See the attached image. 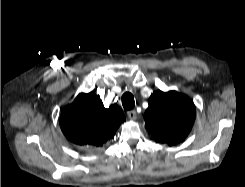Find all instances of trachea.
<instances>
[{"label":"trachea","mask_w":245,"mask_h":187,"mask_svg":"<svg viewBox=\"0 0 245 187\" xmlns=\"http://www.w3.org/2000/svg\"><path fill=\"white\" fill-rule=\"evenodd\" d=\"M122 105L125 110H131L135 106L134 97L130 92H125L122 95Z\"/></svg>","instance_id":"obj_1"}]
</instances>
